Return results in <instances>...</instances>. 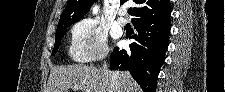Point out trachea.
Segmentation results:
<instances>
[{
    "mask_svg": "<svg viewBox=\"0 0 225 92\" xmlns=\"http://www.w3.org/2000/svg\"><path fill=\"white\" fill-rule=\"evenodd\" d=\"M128 14H132V9L131 8L128 9Z\"/></svg>",
    "mask_w": 225,
    "mask_h": 92,
    "instance_id": "3493384b",
    "label": "trachea"
}]
</instances>
